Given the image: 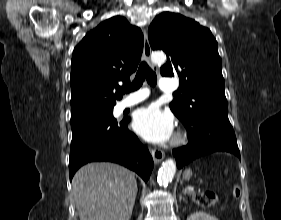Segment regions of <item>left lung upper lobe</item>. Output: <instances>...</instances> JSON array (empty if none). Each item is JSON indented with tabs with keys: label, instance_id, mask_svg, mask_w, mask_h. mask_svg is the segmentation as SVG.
I'll return each instance as SVG.
<instances>
[{
	"label": "left lung upper lobe",
	"instance_id": "left-lung-upper-lobe-1",
	"mask_svg": "<svg viewBox=\"0 0 281 220\" xmlns=\"http://www.w3.org/2000/svg\"><path fill=\"white\" fill-rule=\"evenodd\" d=\"M148 37L153 50L167 54L161 74L180 79L182 97L170 103L172 112L183 123L211 113L228 117L222 62L211 31L193 19L163 12L151 23Z\"/></svg>",
	"mask_w": 281,
	"mask_h": 220
}]
</instances>
